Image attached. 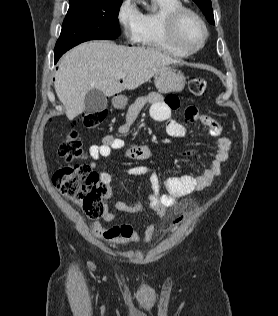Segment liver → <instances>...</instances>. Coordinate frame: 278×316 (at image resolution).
<instances>
[{
    "label": "liver",
    "mask_w": 278,
    "mask_h": 316,
    "mask_svg": "<svg viewBox=\"0 0 278 316\" xmlns=\"http://www.w3.org/2000/svg\"><path fill=\"white\" fill-rule=\"evenodd\" d=\"M177 60L152 48L125 47L109 41L85 42L67 52L55 75L56 94L73 120L85 110L87 92L96 88L111 97L134 90ZM119 73H125L120 82Z\"/></svg>",
    "instance_id": "1"
}]
</instances>
